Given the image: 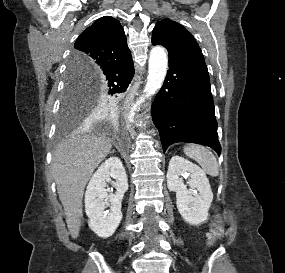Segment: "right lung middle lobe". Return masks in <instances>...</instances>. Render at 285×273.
<instances>
[{
	"label": "right lung middle lobe",
	"mask_w": 285,
	"mask_h": 273,
	"mask_svg": "<svg viewBox=\"0 0 285 273\" xmlns=\"http://www.w3.org/2000/svg\"><path fill=\"white\" fill-rule=\"evenodd\" d=\"M89 82L90 78L81 77L68 67L59 117L60 130L69 129L99 104L108 105L117 102L118 94L112 96L106 94Z\"/></svg>",
	"instance_id": "dd1d6c3e"
}]
</instances>
